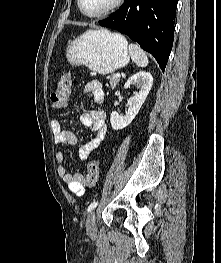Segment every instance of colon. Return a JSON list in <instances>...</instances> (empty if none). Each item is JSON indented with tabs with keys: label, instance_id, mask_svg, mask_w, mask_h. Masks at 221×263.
I'll use <instances>...</instances> for the list:
<instances>
[{
	"label": "colon",
	"instance_id": "colon-1",
	"mask_svg": "<svg viewBox=\"0 0 221 263\" xmlns=\"http://www.w3.org/2000/svg\"><path fill=\"white\" fill-rule=\"evenodd\" d=\"M71 80L68 75H62L58 80L54 92L51 94V104L54 108H64L70 97ZM100 174V166L97 161H90L85 175L86 185L93 187L97 184Z\"/></svg>",
	"mask_w": 221,
	"mask_h": 263
}]
</instances>
